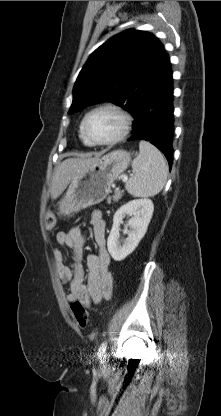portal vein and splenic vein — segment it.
Segmentation results:
<instances>
[{"instance_id": "obj_1", "label": "portal vein and splenic vein", "mask_w": 221, "mask_h": 416, "mask_svg": "<svg viewBox=\"0 0 221 416\" xmlns=\"http://www.w3.org/2000/svg\"><path fill=\"white\" fill-rule=\"evenodd\" d=\"M128 179V177L127 176H123V181H126Z\"/></svg>"}]
</instances>
